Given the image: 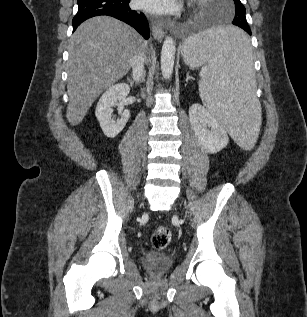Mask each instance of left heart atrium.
Listing matches in <instances>:
<instances>
[{"label": "left heart atrium", "mask_w": 307, "mask_h": 317, "mask_svg": "<svg viewBox=\"0 0 307 317\" xmlns=\"http://www.w3.org/2000/svg\"><path fill=\"white\" fill-rule=\"evenodd\" d=\"M138 5L151 13L167 14L179 9L178 0H138Z\"/></svg>", "instance_id": "39dd6f15"}]
</instances>
